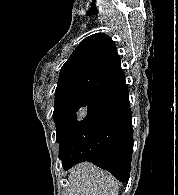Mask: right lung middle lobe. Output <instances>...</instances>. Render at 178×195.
<instances>
[{"label":"right lung middle lobe","mask_w":178,"mask_h":195,"mask_svg":"<svg viewBox=\"0 0 178 195\" xmlns=\"http://www.w3.org/2000/svg\"><path fill=\"white\" fill-rule=\"evenodd\" d=\"M96 96L94 94L74 93L55 97L53 119L56 123V141L59 145L75 125L83 119L84 113L91 106Z\"/></svg>","instance_id":"dd1d6c3e"}]
</instances>
